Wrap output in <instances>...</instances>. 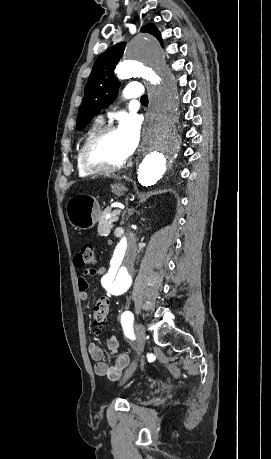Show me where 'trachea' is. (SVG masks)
<instances>
[{
	"label": "trachea",
	"mask_w": 271,
	"mask_h": 459,
	"mask_svg": "<svg viewBox=\"0 0 271 459\" xmlns=\"http://www.w3.org/2000/svg\"><path fill=\"white\" fill-rule=\"evenodd\" d=\"M141 103H142L143 105H147V103H148V95H142V97H141Z\"/></svg>",
	"instance_id": "3493384b"
}]
</instances>
